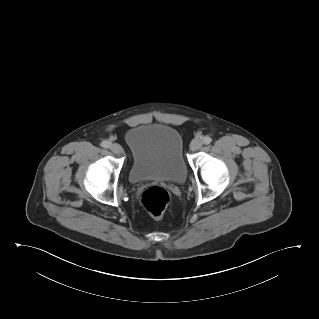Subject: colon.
<instances>
[{"label":"colon","mask_w":319,"mask_h":319,"mask_svg":"<svg viewBox=\"0 0 319 319\" xmlns=\"http://www.w3.org/2000/svg\"><path fill=\"white\" fill-rule=\"evenodd\" d=\"M170 202L169 193L160 186L147 188L142 195V204L154 218H161Z\"/></svg>","instance_id":"1"}]
</instances>
